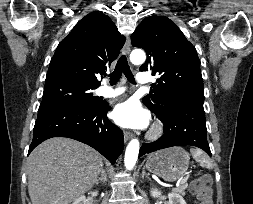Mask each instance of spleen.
Wrapping results in <instances>:
<instances>
[{
	"label": "spleen",
	"instance_id": "3e777b00",
	"mask_svg": "<svg viewBox=\"0 0 253 204\" xmlns=\"http://www.w3.org/2000/svg\"><path fill=\"white\" fill-rule=\"evenodd\" d=\"M193 158L200 163L202 167L212 169V162L210 158L200 149H191Z\"/></svg>",
	"mask_w": 253,
	"mask_h": 204
}]
</instances>
